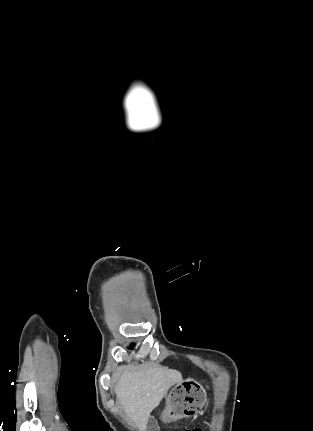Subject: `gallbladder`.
I'll return each mask as SVG.
<instances>
[{
  "instance_id": "1",
  "label": "gallbladder",
  "mask_w": 313,
  "mask_h": 431,
  "mask_svg": "<svg viewBox=\"0 0 313 431\" xmlns=\"http://www.w3.org/2000/svg\"><path fill=\"white\" fill-rule=\"evenodd\" d=\"M148 427L150 428V431H157V423L154 418L149 419Z\"/></svg>"
}]
</instances>
